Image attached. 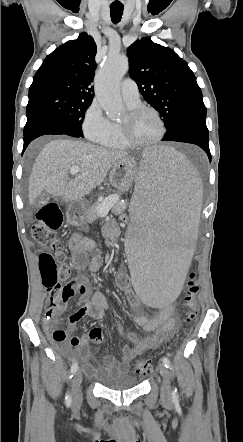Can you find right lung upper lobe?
Returning <instances> with one entry per match:
<instances>
[{"mask_svg":"<svg viewBox=\"0 0 243 442\" xmlns=\"http://www.w3.org/2000/svg\"><path fill=\"white\" fill-rule=\"evenodd\" d=\"M96 51V44L87 33H81L76 40L59 46L37 70L29 88V97L62 93L92 102Z\"/></svg>","mask_w":243,"mask_h":442,"instance_id":"cb5924a9","label":"right lung upper lobe"}]
</instances>
